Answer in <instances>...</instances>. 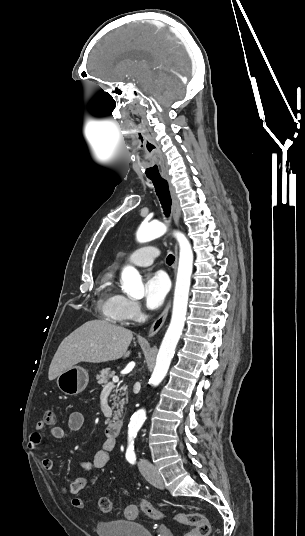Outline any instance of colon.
I'll use <instances>...</instances> for the list:
<instances>
[{
  "label": "colon",
  "instance_id": "5ec220e1",
  "mask_svg": "<svg viewBox=\"0 0 305 536\" xmlns=\"http://www.w3.org/2000/svg\"><path fill=\"white\" fill-rule=\"evenodd\" d=\"M54 413L47 414L45 422L47 424H53ZM74 509L85 513L87 512L85 506L87 503L82 502L79 496H75L71 500ZM100 511L103 513H111L114 511L113 501L110 498L103 497L99 501ZM141 511L147 517L156 520L167 518V516L157 509L150 501L146 499H139L137 502L132 503L118 511L126 519H133ZM172 520L179 524L191 525L192 531L187 536H210L211 525L209 520L200 514L196 513H179L172 517Z\"/></svg>",
  "mask_w": 305,
  "mask_h": 536
}]
</instances>
